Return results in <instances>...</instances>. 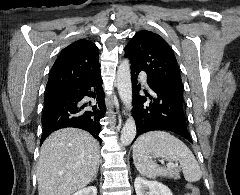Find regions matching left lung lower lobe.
I'll return each mask as SVG.
<instances>
[{
  "instance_id": "obj_1",
  "label": "left lung lower lobe",
  "mask_w": 240,
  "mask_h": 195,
  "mask_svg": "<svg viewBox=\"0 0 240 195\" xmlns=\"http://www.w3.org/2000/svg\"><path fill=\"white\" fill-rule=\"evenodd\" d=\"M130 68L134 95L132 113L136 122V138L148 131L166 130L175 132L192 142L186 126L182 99L166 92L160 85L147 81L154 95L146 94L151 99V102L146 104V98L139 95V85H137L140 72Z\"/></svg>"
}]
</instances>
